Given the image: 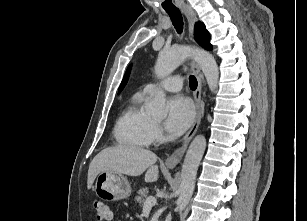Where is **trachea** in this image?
Returning <instances> with one entry per match:
<instances>
[{
    "label": "trachea",
    "mask_w": 307,
    "mask_h": 221,
    "mask_svg": "<svg viewBox=\"0 0 307 221\" xmlns=\"http://www.w3.org/2000/svg\"><path fill=\"white\" fill-rule=\"evenodd\" d=\"M166 12L169 14V16L172 20V23H173L176 31L178 32V34H181L182 30H183V18H182V15H181L179 9H177V8L169 9V10H166ZM197 85H198L197 79L193 75H191L189 77V87H190V89L195 90L197 88Z\"/></svg>",
    "instance_id": "trachea-1"
}]
</instances>
